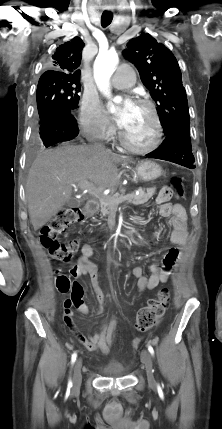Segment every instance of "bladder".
<instances>
[{
    "label": "bladder",
    "instance_id": "obj_1",
    "mask_svg": "<svg viewBox=\"0 0 222 429\" xmlns=\"http://www.w3.org/2000/svg\"><path fill=\"white\" fill-rule=\"evenodd\" d=\"M124 373H125V370L123 368L116 369L110 372V374L118 375V376L123 375Z\"/></svg>",
    "mask_w": 222,
    "mask_h": 429
}]
</instances>
